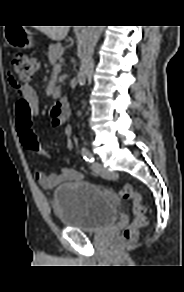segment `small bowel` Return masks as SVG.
<instances>
[{
  "instance_id": "small-bowel-1",
  "label": "small bowel",
  "mask_w": 184,
  "mask_h": 292,
  "mask_svg": "<svg viewBox=\"0 0 184 292\" xmlns=\"http://www.w3.org/2000/svg\"><path fill=\"white\" fill-rule=\"evenodd\" d=\"M54 126H61L62 122L53 119L52 121ZM17 126V132L19 135V128ZM72 128L70 126H65L63 128V135L66 137L65 147L68 151L73 149V143L71 140ZM36 180L39 184L44 187L45 189H53L56 186L65 183V182H73L79 181L82 179V174L73 168L65 167L61 170L60 173H47L42 170H37L35 172Z\"/></svg>"
}]
</instances>
